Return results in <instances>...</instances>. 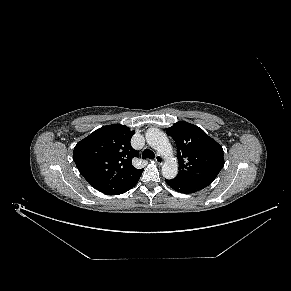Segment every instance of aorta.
I'll return each instance as SVG.
<instances>
[{
    "mask_svg": "<svg viewBox=\"0 0 291 291\" xmlns=\"http://www.w3.org/2000/svg\"><path fill=\"white\" fill-rule=\"evenodd\" d=\"M145 136L148 145L165 158L162 166V175L166 179L175 178L178 173V163L166 134L157 128H149Z\"/></svg>",
    "mask_w": 291,
    "mask_h": 291,
    "instance_id": "obj_1",
    "label": "aorta"
}]
</instances>
